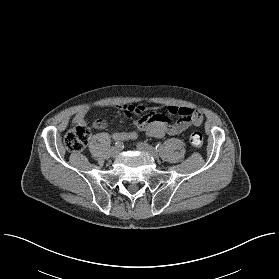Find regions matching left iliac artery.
<instances>
[{"mask_svg":"<svg viewBox=\"0 0 279 279\" xmlns=\"http://www.w3.org/2000/svg\"><path fill=\"white\" fill-rule=\"evenodd\" d=\"M163 148H164V146H163V144H161V143H158V144L155 146V149H156L157 151H161V150H163Z\"/></svg>","mask_w":279,"mask_h":279,"instance_id":"left-iliac-artery-1","label":"left iliac artery"}]
</instances>
